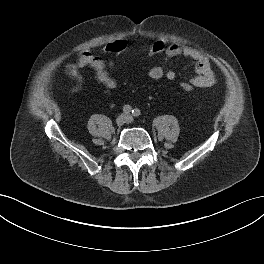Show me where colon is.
I'll return each instance as SVG.
<instances>
[{"mask_svg": "<svg viewBox=\"0 0 264 264\" xmlns=\"http://www.w3.org/2000/svg\"><path fill=\"white\" fill-rule=\"evenodd\" d=\"M127 46L128 43L125 39L118 38L107 43V45L105 46V52L107 54L118 56L127 49ZM165 48H166L165 42L163 40H157L149 46L147 55L149 57L158 56L165 50ZM68 71L72 76H77L78 74L77 67L75 65H71ZM180 88L183 91L190 92L194 90L195 85L192 83V81H183L180 83Z\"/></svg>", "mask_w": 264, "mask_h": 264, "instance_id": "5ec220e1", "label": "colon"}]
</instances>
